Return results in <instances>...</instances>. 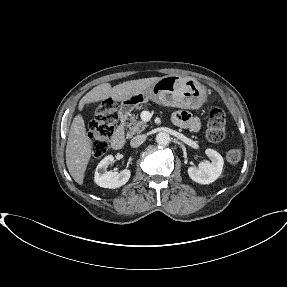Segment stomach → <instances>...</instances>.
Here are the masks:
<instances>
[{
  "label": "stomach",
  "instance_id": "1",
  "mask_svg": "<svg viewBox=\"0 0 287 287\" xmlns=\"http://www.w3.org/2000/svg\"><path fill=\"white\" fill-rule=\"evenodd\" d=\"M149 100L164 106L198 110L206 101V90L193 78L167 75L145 91L123 99L119 113L128 115Z\"/></svg>",
  "mask_w": 287,
  "mask_h": 287
}]
</instances>
